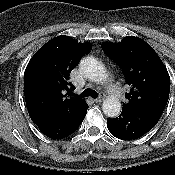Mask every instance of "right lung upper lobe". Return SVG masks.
Here are the masks:
<instances>
[{
    "label": "right lung upper lobe",
    "mask_w": 175,
    "mask_h": 175,
    "mask_svg": "<svg viewBox=\"0 0 175 175\" xmlns=\"http://www.w3.org/2000/svg\"><path fill=\"white\" fill-rule=\"evenodd\" d=\"M90 43L57 36L44 44L31 58L24 72V96L34 123L51 115H75L88 105L73 93L70 72L81 57L90 52Z\"/></svg>",
    "instance_id": "cb5924a9"
}]
</instances>
